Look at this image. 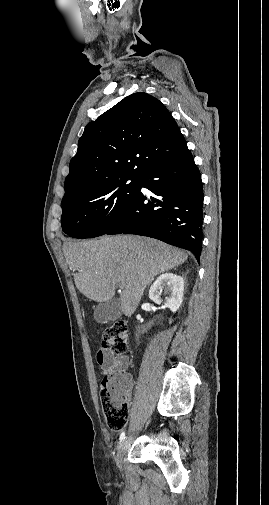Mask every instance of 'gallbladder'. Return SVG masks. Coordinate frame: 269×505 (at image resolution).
<instances>
[{"mask_svg": "<svg viewBox=\"0 0 269 505\" xmlns=\"http://www.w3.org/2000/svg\"><path fill=\"white\" fill-rule=\"evenodd\" d=\"M122 315L121 301L118 298H112L109 301L99 303L94 308V319L105 324L117 320Z\"/></svg>", "mask_w": 269, "mask_h": 505, "instance_id": "obj_1", "label": "gallbladder"}]
</instances>
